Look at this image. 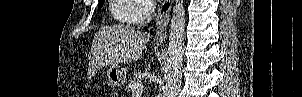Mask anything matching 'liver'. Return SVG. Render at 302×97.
<instances>
[{
	"label": "liver",
	"mask_w": 302,
	"mask_h": 97,
	"mask_svg": "<svg viewBox=\"0 0 302 97\" xmlns=\"http://www.w3.org/2000/svg\"><path fill=\"white\" fill-rule=\"evenodd\" d=\"M149 38V34L130 26L101 28L95 33L92 42L89 76L91 77L98 67L105 64L137 61Z\"/></svg>",
	"instance_id": "1"
}]
</instances>
